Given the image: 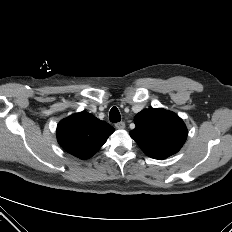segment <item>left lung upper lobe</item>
I'll use <instances>...</instances> for the list:
<instances>
[{
	"label": "left lung upper lobe",
	"instance_id": "1",
	"mask_svg": "<svg viewBox=\"0 0 232 232\" xmlns=\"http://www.w3.org/2000/svg\"><path fill=\"white\" fill-rule=\"evenodd\" d=\"M135 129L130 136L151 158L165 159L180 150L187 138L183 120L162 108L145 109L135 118Z\"/></svg>",
	"mask_w": 232,
	"mask_h": 232
}]
</instances>
